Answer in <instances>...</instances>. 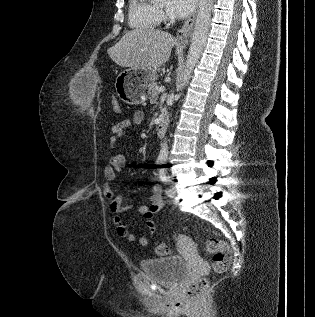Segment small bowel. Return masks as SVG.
I'll use <instances>...</instances> for the list:
<instances>
[{
  "mask_svg": "<svg viewBox=\"0 0 315 317\" xmlns=\"http://www.w3.org/2000/svg\"><path fill=\"white\" fill-rule=\"evenodd\" d=\"M144 119V113L142 111H135L130 117H124L112 126V135L109 139V145L114 148L118 140L123 136L125 131L134 125H139ZM126 165V158L121 153L113 154L109 157L104 167L105 181L102 185V191L104 196L109 202L111 213L113 214V224L116 229L117 235L130 242L136 240V236L130 231L128 226L122 221L121 214L130 210L132 205L127 203L124 199L126 193V187L119 194L115 195L114 182L117 177V173L123 170ZM164 207V200L162 198V189L158 184H154L151 188L150 205H139L138 212L144 217L145 225L151 234L156 232V226L153 222V216L162 210ZM141 246L148 245V239L146 236L139 238Z\"/></svg>",
  "mask_w": 315,
  "mask_h": 317,
  "instance_id": "1",
  "label": "small bowel"
}]
</instances>
